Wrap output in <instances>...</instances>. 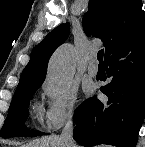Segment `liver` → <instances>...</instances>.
Instances as JSON below:
<instances>
[{"mask_svg":"<svg viewBox=\"0 0 145 147\" xmlns=\"http://www.w3.org/2000/svg\"><path fill=\"white\" fill-rule=\"evenodd\" d=\"M22 147H63V144L59 136L52 135L33 140Z\"/></svg>","mask_w":145,"mask_h":147,"instance_id":"6515ba94","label":"liver"}]
</instances>
